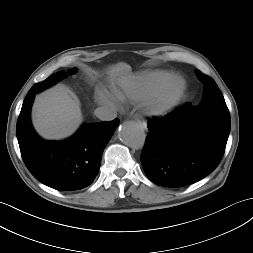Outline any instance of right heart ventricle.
I'll use <instances>...</instances> for the list:
<instances>
[{
    "mask_svg": "<svg viewBox=\"0 0 253 253\" xmlns=\"http://www.w3.org/2000/svg\"><path fill=\"white\" fill-rule=\"evenodd\" d=\"M172 77L173 74L168 71H158L137 76L121 87L115 88L113 90V96L117 100L122 101H140L150 97Z\"/></svg>",
    "mask_w": 253,
    "mask_h": 253,
    "instance_id": "obj_1",
    "label": "right heart ventricle"
}]
</instances>
